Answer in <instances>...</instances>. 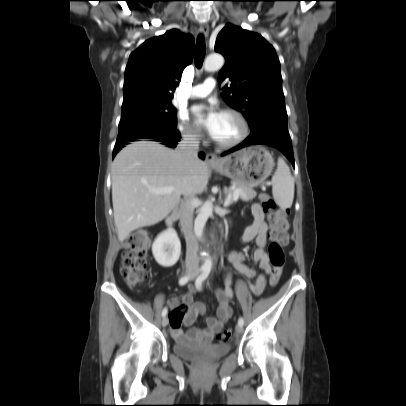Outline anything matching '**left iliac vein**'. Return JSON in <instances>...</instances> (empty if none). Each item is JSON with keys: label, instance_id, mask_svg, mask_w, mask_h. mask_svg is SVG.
<instances>
[{"label": "left iliac vein", "instance_id": "obj_1", "mask_svg": "<svg viewBox=\"0 0 406 406\" xmlns=\"http://www.w3.org/2000/svg\"><path fill=\"white\" fill-rule=\"evenodd\" d=\"M235 330H236L237 333H241L243 331V326L237 325Z\"/></svg>", "mask_w": 406, "mask_h": 406}]
</instances>
